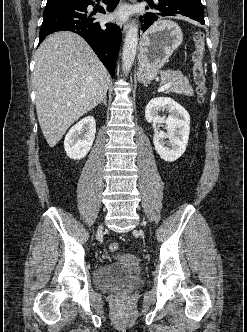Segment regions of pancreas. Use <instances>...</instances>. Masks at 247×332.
I'll list each match as a JSON object with an SVG mask.
<instances>
[{
  "mask_svg": "<svg viewBox=\"0 0 247 332\" xmlns=\"http://www.w3.org/2000/svg\"><path fill=\"white\" fill-rule=\"evenodd\" d=\"M171 83L166 93L184 94L187 96L193 95V89L189 84L187 77L183 76L181 72H167L161 76V84Z\"/></svg>",
  "mask_w": 247,
  "mask_h": 332,
  "instance_id": "obj_1",
  "label": "pancreas"
}]
</instances>
